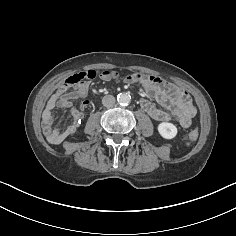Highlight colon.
<instances>
[{
	"label": "colon",
	"mask_w": 236,
	"mask_h": 236,
	"mask_svg": "<svg viewBox=\"0 0 236 236\" xmlns=\"http://www.w3.org/2000/svg\"><path fill=\"white\" fill-rule=\"evenodd\" d=\"M102 75L108 77V78H114L117 76L116 72L113 71H104L102 73ZM95 76H96V72H95ZM128 80L130 81H137L140 78V74L138 73H134V74H130L127 76ZM81 80V77L78 79ZM198 137V131L197 130H192L191 132H189L186 136H185V140L187 141H195Z\"/></svg>",
	"instance_id": "obj_1"
}]
</instances>
